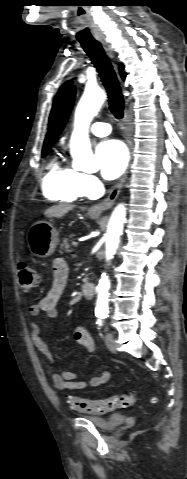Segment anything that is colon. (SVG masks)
I'll return each instance as SVG.
<instances>
[{"instance_id":"colon-1","label":"colon","mask_w":187,"mask_h":479,"mask_svg":"<svg viewBox=\"0 0 187 479\" xmlns=\"http://www.w3.org/2000/svg\"><path fill=\"white\" fill-rule=\"evenodd\" d=\"M19 285L23 291H30L40 282L39 273L27 262H20L17 266ZM72 409L82 413L106 414L116 408L128 407L137 402V395L134 391H127L121 394H115L105 399H82L76 396L68 397ZM156 398H152V403H156Z\"/></svg>"}]
</instances>
